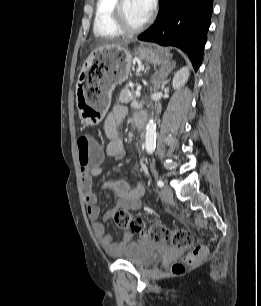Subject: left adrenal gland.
<instances>
[{"instance_id":"left-adrenal-gland-1","label":"left adrenal gland","mask_w":261,"mask_h":306,"mask_svg":"<svg viewBox=\"0 0 261 306\" xmlns=\"http://www.w3.org/2000/svg\"><path fill=\"white\" fill-rule=\"evenodd\" d=\"M175 65L176 63L174 61L167 62L159 69L157 73V79L154 81V89L158 90L159 88H164L165 79L175 67Z\"/></svg>"}]
</instances>
